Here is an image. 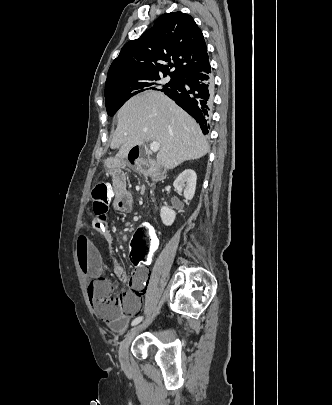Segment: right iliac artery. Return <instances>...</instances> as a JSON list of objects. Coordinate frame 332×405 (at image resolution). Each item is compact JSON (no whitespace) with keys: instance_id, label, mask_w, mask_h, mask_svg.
<instances>
[{"instance_id":"right-iliac-artery-1","label":"right iliac artery","mask_w":332,"mask_h":405,"mask_svg":"<svg viewBox=\"0 0 332 405\" xmlns=\"http://www.w3.org/2000/svg\"><path fill=\"white\" fill-rule=\"evenodd\" d=\"M142 319H143L142 316L136 317V318L132 321L131 325H132V326L137 325L138 323H140V322L142 321Z\"/></svg>"}]
</instances>
